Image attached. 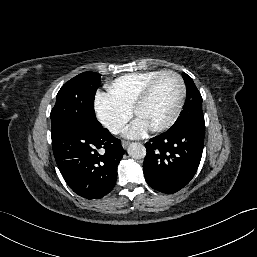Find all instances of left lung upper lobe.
Segmentation results:
<instances>
[{"instance_id": "1", "label": "left lung upper lobe", "mask_w": 257, "mask_h": 257, "mask_svg": "<svg viewBox=\"0 0 257 257\" xmlns=\"http://www.w3.org/2000/svg\"><path fill=\"white\" fill-rule=\"evenodd\" d=\"M182 76L186 84V102L180 116L169 130L188 124L205 125L201 94L190 76H188L186 73H183Z\"/></svg>"}]
</instances>
